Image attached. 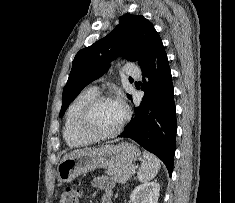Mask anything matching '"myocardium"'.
Returning <instances> with one entry per match:
<instances>
[{
  "label": "myocardium",
  "instance_id": "myocardium-1",
  "mask_svg": "<svg viewBox=\"0 0 235 203\" xmlns=\"http://www.w3.org/2000/svg\"><path fill=\"white\" fill-rule=\"evenodd\" d=\"M104 101H118L124 109V116L120 124L114 130L107 133H100L92 127L91 119L95 108ZM129 118H130V110L123 102L115 99L110 95L97 94L83 108L79 119V130L82 134L88 136L92 140H105L115 137L119 133H121V131L124 129L125 125L127 124Z\"/></svg>",
  "mask_w": 235,
  "mask_h": 203
}]
</instances>
